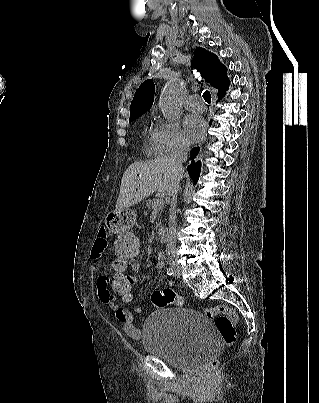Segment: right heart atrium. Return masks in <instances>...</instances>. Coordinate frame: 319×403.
Returning <instances> with one entry per match:
<instances>
[{
    "label": "right heart atrium",
    "mask_w": 319,
    "mask_h": 403,
    "mask_svg": "<svg viewBox=\"0 0 319 403\" xmlns=\"http://www.w3.org/2000/svg\"><path fill=\"white\" fill-rule=\"evenodd\" d=\"M154 140L162 154H172L187 148V141L176 121L161 120L155 128Z\"/></svg>",
    "instance_id": "d8ad5b80"
}]
</instances>
